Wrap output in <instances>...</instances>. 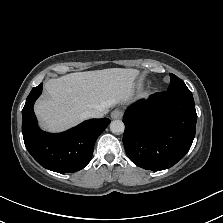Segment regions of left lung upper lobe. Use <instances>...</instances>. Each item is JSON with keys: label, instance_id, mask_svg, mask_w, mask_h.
<instances>
[{"label": "left lung upper lobe", "instance_id": "left-lung-upper-lobe-1", "mask_svg": "<svg viewBox=\"0 0 223 223\" xmlns=\"http://www.w3.org/2000/svg\"><path fill=\"white\" fill-rule=\"evenodd\" d=\"M171 83L168 87V90L180 91V92H191L183 80L179 79L176 75L170 74Z\"/></svg>", "mask_w": 223, "mask_h": 223}]
</instances>
